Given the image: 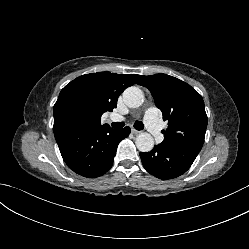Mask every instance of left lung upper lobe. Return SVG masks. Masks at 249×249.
I'll list each match as a JSON object with an SVG mask.
<instances>
[{"mask_svg": "<svg viewBox=\"0 0 249 249\" xmlns=\"http://www.w3.org/2000/svg\"><path fill=\"white\" fill-rule=\"evenodd\" d=\"M139 85L149 89L163 120H168L161 144L200 152L208 122L201 95L189 84L166 74L144 76Z\"/></svg>", "mask_w": 249, "mask_h": 249, "instance_id": "5c2ea615", "label": "left lung upper lobe"}]
</instances>
